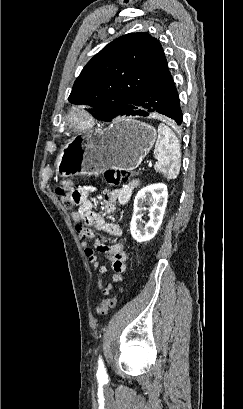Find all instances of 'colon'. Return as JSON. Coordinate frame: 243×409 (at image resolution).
Here are the masks:
<instances>
[{
  "label": "colon",
  "instance_id": "5ec220e1",
  "mask_svg": "<svg viewBox=\"0 0 243 409\" xmlns=\"http://www.w3.org/2000/svg\"><path fill=\"white\" fill-rule=\"evenodd\" d=\"M132 175V171L127 169H110L105 173V180L109 185H117L121 182L130 180ZM55 193L63 203V205L67 208H73L79 204V196L77 195V192L73 188L70 181H62L56 187ZM119 291L122 292V289H120ZM116 305V295L104 299L96 308V314L100 317L105 316L109 312V310L113 309Z\"/></svg>",
  "mask_w": 243,
  "mask_h": 409
}]
</instances>
